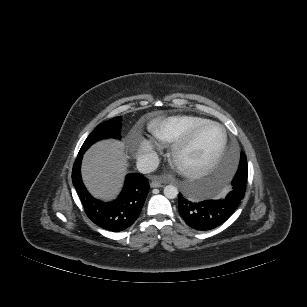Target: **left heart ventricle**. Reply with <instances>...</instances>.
Wrapping results in <instances>:
<instances>
[{"instance_id": "1", "label": "left heart ventricle", "mask_w": 307, "mask_h": 307, "mask_svg": "<svg viewBox=\"0 0 307 307\" xmlns=\"http://www.w3.org/2000/svg\"><path fill=\"white\" fill-rule=\"evenodd\" d=\"M222 140L218 127L210 126L201 131L193 143L184 150L178 164L182 167H197L208 162L215 154Z\"/></svg>"}]
</instances>
